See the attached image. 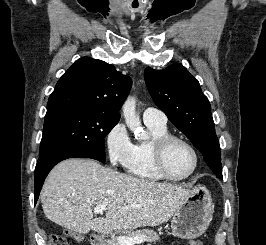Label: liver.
Returning a JSON list of instances; mask_svg holds the SVG:
<instances>
[{
    "label": "liver",
    "instance_id": "obj_1",
    "mask_svg": "<svg viewBox=\"0 0 266 245\" xmlns=\"http://www.w3.org/2000/svg\"><path fill=\"white\" fill-rule=\"evenodd\" d=\"M190 195L181 185L122 175L94 159H67L49 173L41 203L45 217L60 227L110 235L167 223ZM96 205H106V219H93Z\"/></svg>",
    "mask_w": 266,
    "mask_h": 245
}]
</instances>
